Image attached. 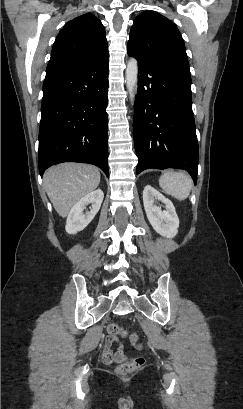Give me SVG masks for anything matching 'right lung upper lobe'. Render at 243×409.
<instances>
[{
	"label": "right lung upper lobe",
	"mask_w": 243,
	"mask_h": 409,
	"mask_svg": "<svg viewBox=\"0 0 243 409\" xmlns=\"http://www.w3.org/2000/svg\"><path fill=\"white\" fill-rule=\"evenodd\" d=\"M108 53L105 29L91 13L69 21L59 32L46 76L82 67Z\"/></svg>",
	"instance_id": "1"
}]
</instances>
